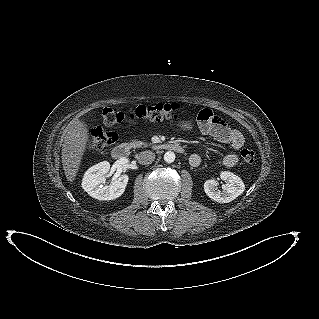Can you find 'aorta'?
Returning <instances> with one entry per match:
<instances>
[{
  "label": "aorta",
  "mask_w": 319,
  "mask_h": 319,
  "mask_svg": "<svg viewBox=\"0 0 319 319\" xmlns=\"http://www.w3.org/2000/svg\"><path fill=\"white\" fill-rule=\"evenodd\" d=\"M175 153L172 152V151H168L164 154V161L167 162V163H172L175 161Z\"/></svg>",
  "instance_id": "aorta-1"
}]
</instances>
